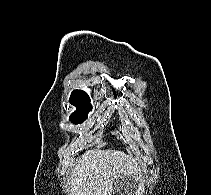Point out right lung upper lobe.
I'll return each instance as SVG.
<instances>
[{
  "instance_id": "cb5924a9",
  "label": "right lung upper lobe",
  "mask_w": 211,
  "mask_h": 195,
  "mask_svg": "<svg viewBox=\"0 0 211 195\" xmlns=\"http://www.w3.org/2000/svg\"><path fill=\"white\" fill-rule=\"evenodd\" d=\"M69 102L74 105H88L90 104V98L86 92L74 90L70 96Z\"/></svg>"
}]
</instances>
